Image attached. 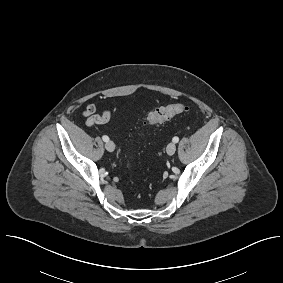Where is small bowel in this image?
Listing matches in <instances>:
<instances>
[{
  "label": "small bowel",
  "instance_id": "small-bowel-1",
  "mask_svg": "<svg viewBox=\"0 0 283 283\" xmlns=\"http://www.w3.org/2000/svg\"><path fill=\"white\" fill-rule=\"evenodd\" d=\"M111 116L112 111L109 109L104 110L100 114H97L96 107L94 104H88L83 111L85 123L89 126L95 124H105L110 120Z\"/></svg>",
  "mask_w": 283,
  "mask_h": 283
}]
</instances>
